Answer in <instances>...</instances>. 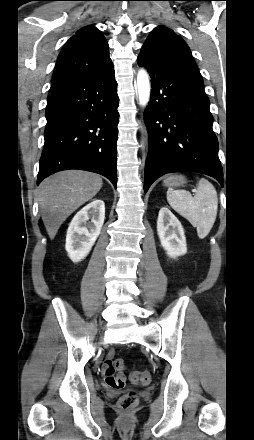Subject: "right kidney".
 Instances as JSON below:
<instances>
[{
    "label": "right kidney",
    "instance_id": "right-kidney-1",
    "mask_svg": "<svg viewBox=\"0 0 254 440\" xmlns=\"http://www.w3.org/2000/svg\"><path fill=\"white\" fill-rule=\"evenodd\" d=\"M105 219V204L95 199L72 219L66 235L65 249L73 262L84 259L99 236ZM90 220V221H89Z\"/></svg>",
    "mask_w": 254,
    "mask_h": 440
}]
</instances>
